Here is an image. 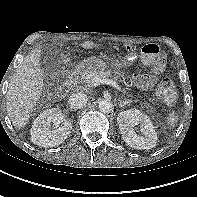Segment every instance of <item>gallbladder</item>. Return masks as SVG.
I'll list each match as a JSON object with an SVG mask.
<instances>
[{"instance_id":"gallbladder-1","label":"gallbladder","mask_w":197,"mask_h":197,"mask_svg":"<svg viewBox=\"0 0 197 197\" xmlns=\"http://www.w3.org/2000/svg\"><path fill=\"white\" fill-rule=\"evenodd\" d=\"M49 52L48 50L44 49L41 53H40V61L41 63L46 66L50 64V56H49Z\"/></svg>"}]
</instances>
